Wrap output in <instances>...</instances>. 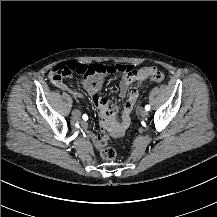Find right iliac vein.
I'll use <instances>...</instances> for the list:
<instances>
[{"mask_svg": "<svg viewBox=\"0 0 217 217\" xmlns=\"http://www.w3.org/2000/svg\"><path fill=\"white\" fill-rule=\"evenodd\" d=\"M72 116L73 118L78 119L81 116V112L78 109H74L72 111Z\"/></svg>", "mask_w": 217, "mask_h": 217, "instance_id": "1", "label": "right iliac vein"}]
</instances>
